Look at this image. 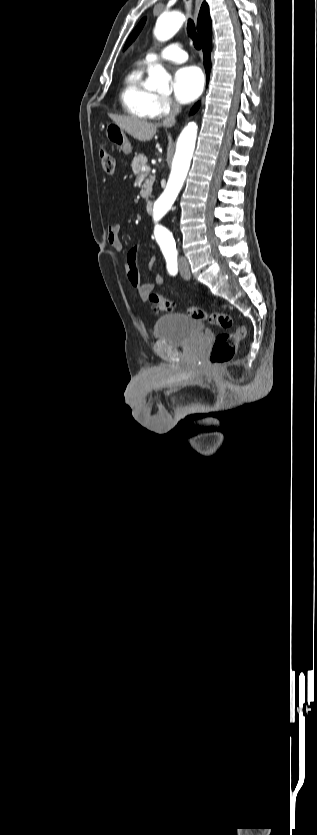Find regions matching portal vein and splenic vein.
Returning a JSON list of instances; mask_svg holds the SVG:
<instances>
[{"instance_id": "1", "label": "portal vein and splenic vein", "mask_w": 317, "mask_h": 835, "mask_svg": "<svg viewBox=\"0 0 317 835\" xmlns=\"http://www.w3.org/2000/svg\"><path fill=\"white\" fill-rule=\"evenodd\" d=\"M148 170H150V167H146V166L142 167V171H148Z\"/></svg>"}]
</instances>
